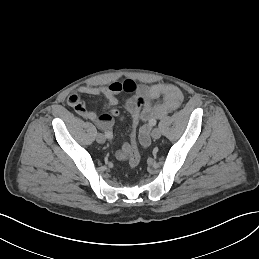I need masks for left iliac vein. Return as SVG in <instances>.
Wrapping results in <instances>:
<instances>
[{"label": "left iliac vein", "instance_id": "obj_1", "mask_svg": "<svg viewBox=\"0 0 259 259\" xmlns=\"http://www.w3.org/2000/svg\"><path fill=\"white\" fill-rule=\"evenodd\" d=\"M161 136V131L158 128L153 129L152 131V137L154 139H159Z\"/></svg>", "mask_w": 259, "mask_h": 259}]
</instances>
